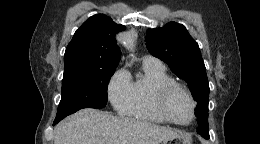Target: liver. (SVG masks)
<instances>
[{
    "label": "liver",
    "mask_w": 260,
    "mask_h": 144,
    "mask_svg": "<svg viewBox=\"0 0 260 144\" xmlns=\"http://www.w3.org/2000/svg\"><path fill=\"white\" fill-rule=\"evenodd\" d=\"M178 132L150 122L83 109L62 121L54 144H160Z\"/></svg>",
    "instance_id": "1"
}]
</instances>
